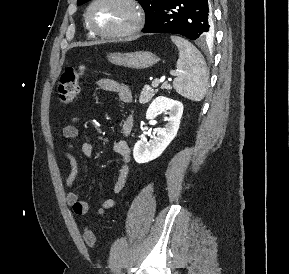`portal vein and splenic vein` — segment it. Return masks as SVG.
<instances>
[{
  "label": "portal vein and splenic vein",
  "instance_id": "obj_1",
  "mask_svg": "<svg viewBox=\"0 0 289 274\" xmlns=\"http://www.w3.org/2000/svg\"><path fill=\"white\" fill-rule=\"evenodd\" d=\"M172 75H173V76H177V75H179V73H178V72H173ZM160 82H161V81H160L159 79H156V80H154V81L152 82V86H153V87H157Z\"/></svg>",
  "mask_w": 289,
  "mask_h": 274
}]
</instances>
